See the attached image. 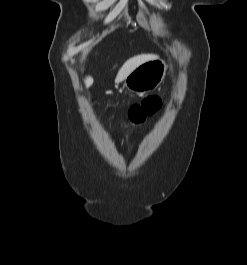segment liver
Masks as SVG:
<instances>
[{"mask_svg":"<svg viewBox=\"0 0 247 265\" xmlns=\"http://www.w3.org/2000/svg\"><path fill=\"white\" fill-rule=\"evenodd\" d=\"M157 58L158 56L154 54H141L128 59L119 69L115 79V83H120L123 80H125V78L141 64ZM92 84H93V78L87 77L85 79L86 87H90Z\"/></svg>","mask_w":247,"mask_h":265,"instance_id":"1","label":"liver"}]
</instances>
